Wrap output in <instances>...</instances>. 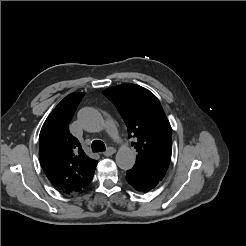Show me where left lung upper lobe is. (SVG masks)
<instances>
[{
  "label": "left lung upper lobe",
  "instance_id": "5c2ea615",
  "mask_svg": "<svg viewBox=\"0 0 246 246\" xmlns=\"http://www.w3.org/2000/svg\"><path fill=\"white\" fill-rule=\"evenodd\" d=\"M103 94L113 102L122 116L132 146L137 151L138 167L162 180L171 160V126L153 93L131 83L107 88Z\"/></svg>",
  "mask_w": 246,
  "mask_h": 246
}]
</instances>
